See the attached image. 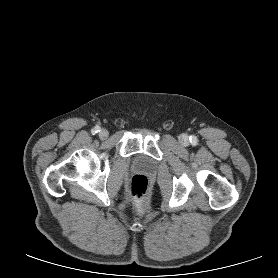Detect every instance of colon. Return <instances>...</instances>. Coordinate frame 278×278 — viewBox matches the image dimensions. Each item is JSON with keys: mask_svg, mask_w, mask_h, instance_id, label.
<instances>
[{"mask_svg": "<svg viewBox=\"0 0 278 278\" xmlns=\"http://www.w3.org/2000/svg\"><path fill=\"white\" fill-rule=\"evenodd\" d=\"M130 195L138 204H142L149 194V180L144 175L132 177L129 187Z\"/></svg>", "mask_w": 278, "mask_h": 278, "instance_id": "colon-1", "label": "colon"}]
</instances>
